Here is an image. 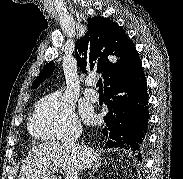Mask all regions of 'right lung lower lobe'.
I'll return each instance as SVG.
<instances>
[{
  "mask_svg": "<svg viewBox=\"0 0 183 179\" xmlns=\"http://www.w3.org/2000/svg\"><path fill=\"white\" fill-rule=\"evenodd\" d=\"M146 78L140 64L131 74L105 87V104L109 112L104 117L102 133L105 148H125L137 153L140 161L148 128Z\"/></svg>",
  "mask_w": 183,
  "mask_h": 179,
  "instance_id": "1",
  "label": "right lung lower lobe"
}]
</instances>
